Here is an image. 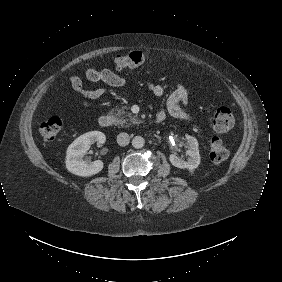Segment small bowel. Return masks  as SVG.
I'll return each instance as SVG.
<instances>
[{
    "instance_id": "obj_1",
    "label": "small bowel",
    "mask_w": 282,
    "mask_h": 282,
    "mask_svg": "<svg viewBox=\"0 0 282 282\" xmlns=\"http://www.w3.org/2000/svg\"><path fill=\"white\" fill-rule=\"evenodd\" d=\"M85 77L92 82H102L109 87L120 88L126 84L125 78L119 76L109 69H96L89 67L85 70ZM72 89L83 96L85 100L81 103L83 108H92L96 105V100L106 93V89H87L84 87L82 79L77 75L70 77ZM174 86L173 92L168 96L166 107L156 113V119L164 121L168 115L182 121H192L193 116L184 109L190 96L189 89L178 81L170 82ZM148 88L155 96H162L166 90V84L147 83Z\"/></svg>"
}]
</instances>
